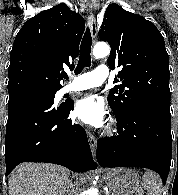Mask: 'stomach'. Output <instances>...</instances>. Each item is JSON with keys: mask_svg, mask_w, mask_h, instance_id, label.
<instances>
[{"mask_svg": "<svg viewBox=\"0 0 178 195\" xmlns=\"http://www.w3.org/2000/svg\"><path fill=\"white\" fill-rule=\"evenodd\" d=\"M103 177L111 195H134L139 187L138 175L129 168L106 169Z\"/></svg>", "mask_w": 178, "mask_h": 195, "instance_id": "obj_1", "label": "stomach"}]
</instances>
